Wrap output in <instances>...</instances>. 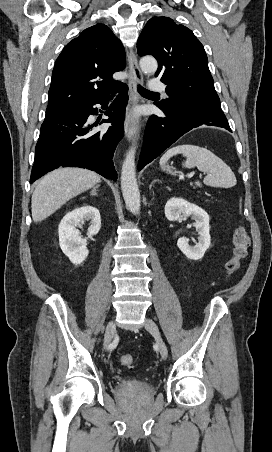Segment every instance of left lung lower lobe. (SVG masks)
Returning a JSON list of instances; mask_svg holds the SVG:
<instances>
[{
    "label": "left lung lower lobe",
    "instance_id": "0a47b994",
    "mask_svg": "<svg viewBox=\"0 0 272 452\" xmlns=\"http://www.w3.org/2000/svg\"><path fill=\"white\" fill-rule=\"evenodd\" d=\"M156 105L166 116L149 118L138 162L139 171L193 128L209 125L232 132L220 103L194 99L170 106Z\"/></svg>",
    "mask_w": 272,
    "mask_h": 452
}]
</instances>
